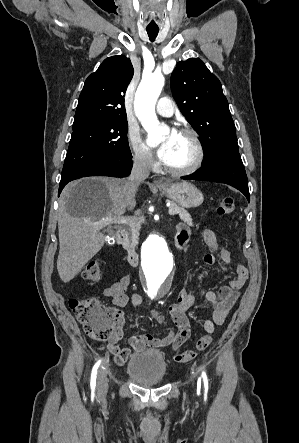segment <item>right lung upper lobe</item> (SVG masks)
Wrapping results in <instances>:
<instances>
[{
	"instance_id": "right-lung-upper-lobe-1",
	"label": "right lung upper lobe",
	"mask_w": 299,
	"mask_h": 443,
	"mask_svg": "<svg viewBox=\"0 0 299 443\" xmlns=\"http://www.w3.org/2000/svg\"><path fill=\"white\" fill-rule=\"evenodd\" d=\"M133 74L129 58L112 56L105 59L85 81L73 126L88 121L126 118L123 94Z\"/></svg>"
}]
</instances>
